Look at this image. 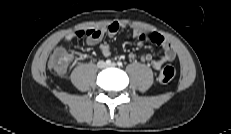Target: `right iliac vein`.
Segmentation results:
<instances>
[{"instance_id":"right-iliac-vein-1","label":"right iliac vein","mask_w":231,"mask_h":134,"mask_svg":"<svg viewBox=\"0 0 231 134\" xmlns=\"http://www.w3.org/2000/svg\"><path fill=\"white\" fill-rule=\"evenodd\" d=\"M97 66H98L99 68H104V67H106V64H105L104 61H99V62L97 63Z\"/></svg>"}]
</instances>
